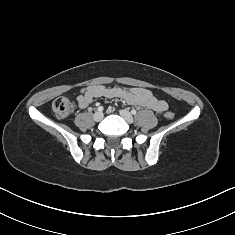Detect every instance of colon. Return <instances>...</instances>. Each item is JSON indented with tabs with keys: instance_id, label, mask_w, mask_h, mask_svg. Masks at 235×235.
<instances>
[{
	"instance_id": "5ec220e1",
	"label": "colon",
	"mask_w": 235,
	"mask_h": 235,
	"mask_svg": "<svg viewBox=\"0 0 235 235\" xmlns=\"http://www.w3.org/2000/svg\"><path fill=\"white\" fill-rule=\"evenodd\" d=\"M52 109L57 118L65 119L71 114L73 106H72L71 101L68 98L58 97L53 101ZM165 117L167 119H172L174 118V113L167 112L165 114Z\"/></svg>"
}]
</instances>
